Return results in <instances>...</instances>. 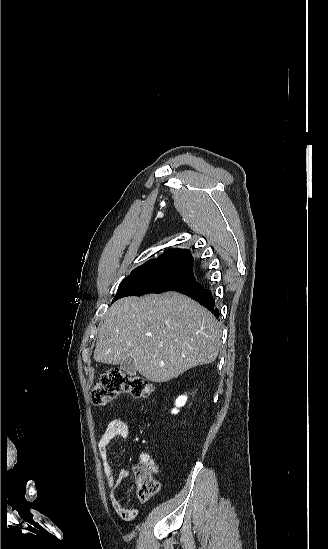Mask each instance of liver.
Segmentation results:
<instances>
[{
    "mask_svg": "<svg viewBox=\"0 0 328 549\" xmlns=\"http://www.w3.org/2000/svg\"><path fill=\"white\" fill-rule=\"evenodd\" d=\"M221 337L214 315L186 295L126 297L100 321L94 359L119 365L132 357L139 375L166 383L216 361Z\"/></svg>",
    "mask_w": 328,
    "mask_h": 549,
    "instance_id": "1",
    "label": "liver"
}]
</instances>
